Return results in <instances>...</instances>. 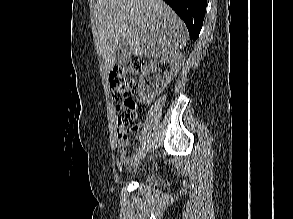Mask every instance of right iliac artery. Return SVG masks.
I'll return each mask as SVG.
<instances>
[{"label":"right iliac artery","instance_id":"right-iliac-artery-1","mask_svg":"<svg viewBox=\"0 0 293 219\" xmlns=\"http://www.w3.org/2000/svg\"><path fill=\"white\" fill-rule=\"evenodd\" d=\"M143 145H141L139 148H138V150L136 151V154H135V156L140 152V151H142L143 150Z\"/></svg>","mask_w":293,"mask_h":219}]
</instances>
